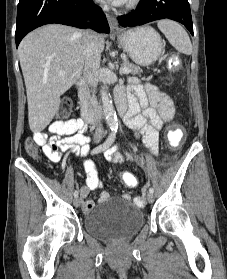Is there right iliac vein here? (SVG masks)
Masks as SVG:
<instances>
[{"instance_id": "obj_1", "label": "right iliac vein", "mask_w": 227, "mask_h": 279, "mask_svg": "<svg viewBox=\"0 0 227 279\" xmlns=\"http://www.w3.org/2000/svg\"><path fill=\"white\" fill-rule=\"evenodd\" d=\"M73 204L75 207H79L81 204V199L80 198H75L73 201Z\"/></svg>"}]
</instances>
